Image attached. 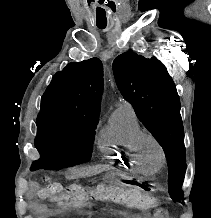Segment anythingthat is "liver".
I'll list each match as a JSON object with an SVG mask.
<instances>
[{
  "mask_svg": "<svg viewBox=\"0 0 211 218\" xmlns=\"http://www.w3.org/2000/svg\"><path fill=\"white\" fill-rule=\"evenodd\" d=\"M78 172H80V174H88L91 170H89V168H82V170H78Z\"/></svg>",
  "mask_w": 211,
  "mask_h": 218,
  "instance_id": "1",
  "label": "liver"
}]
</instances>
